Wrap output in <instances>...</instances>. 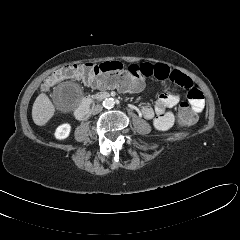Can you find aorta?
Here are the masks:
<instances>
[{
    "instance_id": "aorta-1",
    "label": "aorta",
    "mask_w": 240,
    "mask_h": 240,
    "mask_svg": "<svg viewBox=\"0 0 240 240\" xmlns=\"http://www.w3.org/2000/svg\"><path fill=\"white\" fill-rule=\"evenodd\" d=\"M103 106L107 109H111L115 105V101L113 98H106L103 100Z\"/></svg>"
}]
</instances>
